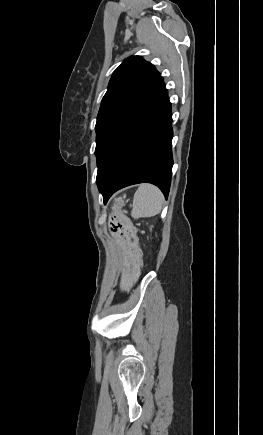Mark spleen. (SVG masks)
I'll return each instance as SVG.
<instances>
[{
	"instance_id": "1",
	"label": "spleen",
	"mask_w": 263,
	"mask_h": 435,
	"mask_svg": "<svg viewBox=\"0 0 263 435\" xmlns=\"http://www.w3.org/2000/svg\"><path fill=\"white\" fill-rule=\"evenodd\" d=\"M163 203V194L151 184H141L133 199L132 216L152 217L160 213Z\"/></svg>"
}]
</instances>
